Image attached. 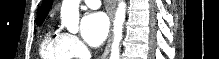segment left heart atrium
Instances as JSON below:
<instances>
[{
	"mask_svg": "<svg viewBox=\"0 0 219 59\" xmlns=\"http://www.w3.org/2000/svg\"><path fill=\"white\" fill-rule=\"evenodd\" d=\"M109 30L108 19L102 12L87 13L81 23V35L86 43L99 46L105 40Z\"/></svg>",
	"mask_w": 219,
	"mask_h": 59,
	"instance_id": "39dd6f15",
	"label": "left heart atrium"
}]
</instances>
